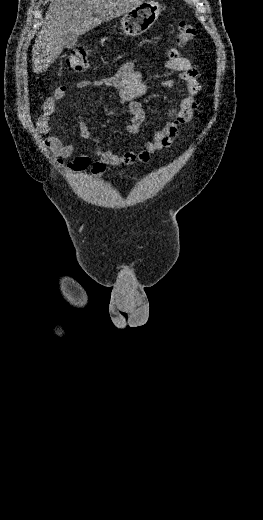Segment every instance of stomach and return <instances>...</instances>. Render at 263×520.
Here are the masks:
<instances>
[{"label": "stomach", "mask_w": 263, "mask_h": 520, "mask_svg": "<svg viewBox=\"0 0 263 520\" xmlns=\"http://www.w3.org/2000/svg\"><path fill=\"white\" fill-rule=\"evenodd\" d=\"M161 5L153 0L143 1L125 13L120 20V28L125 35L136 37L146 32L158 19Z\"/></svg>", "instance_id": "0dacf381"}]
</instances>
